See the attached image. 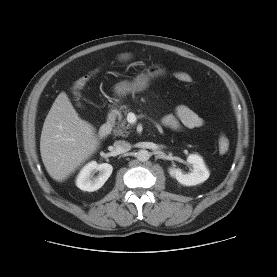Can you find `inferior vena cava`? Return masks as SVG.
Listing matches in <instances>:
<instances>
[{"label": "inferior vena cava", "mask_w": 277, "mask_h": 277, "mask_svg": "<svg viewBox=\"0 0 277 277\" xmlns=\"http://www.w3.org/2000/svg\"><path fill=\"white\" fill-rule=\"evenodd\" d=\"M114 149L118 153H124L131 149V144L125 140H118L114 142Z\"/></svg>", "instance_id": "inferior-vena-cava-1"}]
</instances>
